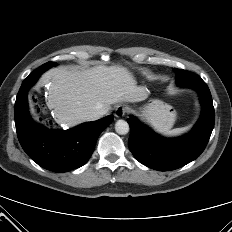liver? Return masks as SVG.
<instances>
[{
	"label": "liver",
	"instance_id": "1",
	"mask_svg": "<svg viewBox=\"0 0 232 232\" xmlns=\"http://www.w3.org/2000/svg\"><path fill=\"white\" fill-rule=\"evenodd\" d=\"M51 82L48 106L58 124L74 127L85 121L87 114L98 109L107 112L119 102H140L148 97V89L137 86L133 75L120 66H95L79 70L58 67L47 71L41 85Z\"/></svg>",
	"mask_w": 232,
	"mask_h": 232
}]
</instances>
